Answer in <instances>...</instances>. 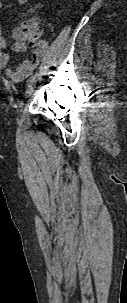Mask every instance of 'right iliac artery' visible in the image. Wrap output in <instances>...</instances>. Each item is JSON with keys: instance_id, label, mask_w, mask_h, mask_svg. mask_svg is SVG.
Wrapping results in <instances>:
<instances>
[{"instance_id": "1", "label": "right iliac artery", "mask_w": 127, "mask_h": 303, "mask_svg": "<svg viewBox=\"0 0 127 303\" xmlns=\"http://www.w3.org/2000/svg\"><path fill=\"white\" fill-rule=\"evenodd\" d=\"M38 74L32 75L29 80H28V86H30L36 79H37Z\"/></svg>"}]
</instances>
